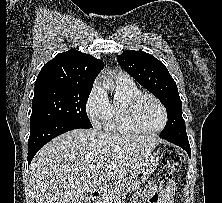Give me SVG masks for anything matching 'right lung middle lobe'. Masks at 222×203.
I'll return each mask as SVG.
<instances>
[{
    "instance_id": "1",
    "label": "right lung middle lobe",
    "mask_w": 222,
    "mask_h": 203,
    "mask_svg": "<svg viewBox=\"0 0 222 203\" xmlns=\"http://www.w3.org/2000/svg\"><path fill=\"white\" fill-rule=\"evenodd\" d=\"M92 87L54 86L35 91L31 126L46 121H71L92 127L86 113V101Z\"/></svg>"
}]
</instances>
